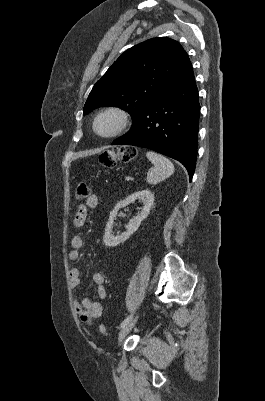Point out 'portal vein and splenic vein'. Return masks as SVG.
<instances>
[{
  "instance_id": "18ae733b",
  "label": "portal vein and splenic vein",
  "mask_w": 265,
  "mask_h": 401,
  "mask_svg": "<svg viewBox=\"0 0 265 401\" xmlns=\"http://www.w3.org/2000/svg\"><path fill=\"white\" fill-rule=\"evenodd\" d=\"M125 180H126V181H130V180H131V177H130V176H126V177H125Z\"/></svg>"
}]
</instances>
